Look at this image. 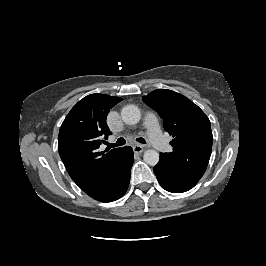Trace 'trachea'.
<instances>
[{
	"mask_svg": "<svg viewBox=\"0 0 266 266\" xmlns=\"http://www.w3.org/2000/svg\"><path fill=\"white\" fill-rule=\"evenodd\" d=\"M136 141H138L139 143L145 144L146 140L144 138H137ZM126 143L124 138H119L116 143H106V145L108 146V148H114V147H118V146H122Z\"/></svg>",
	"mask_w": 266,
	"mask_h": 266,
	"instance_id": "obj_1",
	"label": "trachea"
}]
</instances>
